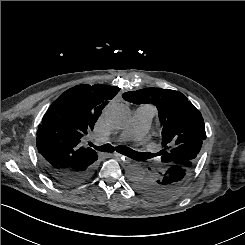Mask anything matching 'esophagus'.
I'll return each mask as SVG.
<instances>
[{
	"mask_svg": "<svg viewBox=\"0 0 245 245\" xmlns=\"http://www.w3.org/2000/svg\"><path fill=\"white\" fill-rule=\"evenodd\" d=\"M113 156L116 158H120L124 163H129L130 159L122 154L119 153H113Z\"/></svg>",
	"mask_w": 245,
	"mask_h": 245,
	"instance_id": "obj_1",
	"label": "esophagus"
}]
</instances>
